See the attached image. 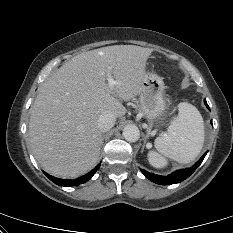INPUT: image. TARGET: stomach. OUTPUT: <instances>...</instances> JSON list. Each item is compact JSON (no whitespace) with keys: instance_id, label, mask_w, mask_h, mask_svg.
<instances>
[{"instance_id":"0dacf381","label":"stomach","mask_w":233,"mask_h":233,"mask_svg":"<svg viewBox=\"0 0 233 233\" xmlns=\"http://www.w3.org/2000/svg\"><path fill=\"white\" fill-rule=\"evenodd\" d=\"M140 110L150 123H160L167 108L165 84L155 73L146 72L141 82Z\"/></svg>"}]
</instances>
